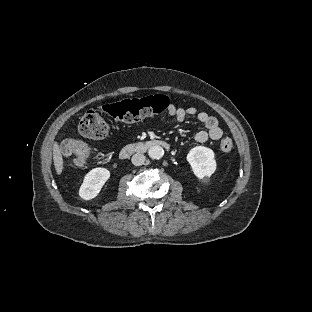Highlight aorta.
<instances>
[{
  "label": "aorta",
  "mask_w": 312,
  "mask_h": 312,
  "mask_svg": "<svg viewBox=\"0 0 312 312\" xmlns=\"http://www.w3.org/2000/svg\"><path fill=\"white\" fill-rule=\"evenodd\" d=\"M164 151L159 145L151 146L148 149V155L151 159H159L163 156Z\"/></svg>",
  "instance_id": "1"
}]
</instances>
